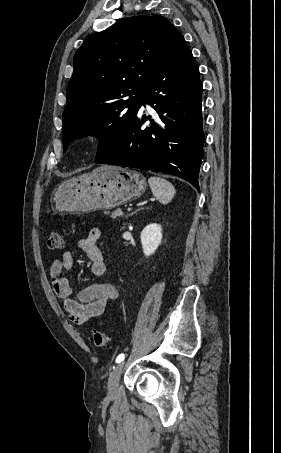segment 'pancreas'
I'll return each mask as SVG.
<instances>
[{
	"mask_svg": "<svg viewBox=\"0 0 281 453\" xmlns=\"http://www.w3.org/2000/svg\"><path fill=\"white\" fill-rule=\"evenodd\" d=\"M123 212L121 210V208H117V210H114V212H112V216L113 218H116V216H122Z\"/></svg>",
	"mask_w": 281,
	"mask_h": 453,
	"instance_id": "cf45deb5",
	"label": "pancreas"
}]
</instances>
